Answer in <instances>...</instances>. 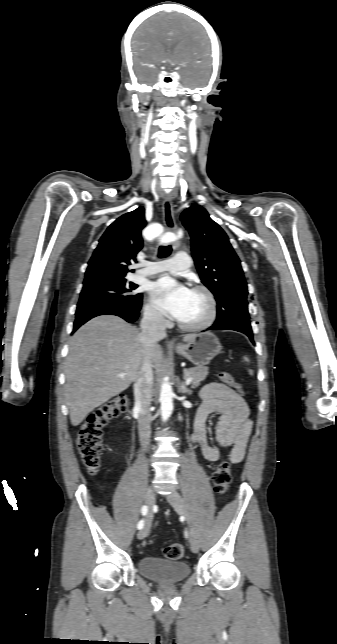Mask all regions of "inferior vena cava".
<instances>
[{
	"mask_svg": "<svg viewBox=\"0 0 337 644\" xmlns=\"http://www.w3.org/2000/svg\"><path fill=\"white\" fill-rule=\"evenodd\" d=\"M141 340L146 347L152 346L158 339L166 336L164 318L161 313L149 310L144 313L141 320ZM153 385V374L145 357L141 370L134 383L135 409L138 411V431L140 442L147 447L150 442V424L152 421L150 413L151 388Z\"/></svg>",
	"mask_w": 337,
	"mask_h": 644,
	"instance_id": "inferior-vena-cava-1",
	"label": "inferior vena cava"
}]
</instances>
